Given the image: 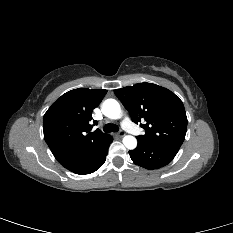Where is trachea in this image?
Listing matches in <instances>:
<instances>
[{"instance_id": "obj_1", "label": "trachea", "mask_w": 233, "mask_h": 233, "mask_svg": "<svg viewBox=\"0 0 233 233\" xmlns=\"http://www.w3.org/2000/svg\"><path fill=\"white\" fill-rule=\"evenodd\" d=\"M104 132H106V133H109V132H117V131H119V127L117 126V125H115V124H106L105 126H104Z\"/></svg>"}]
</instances>
